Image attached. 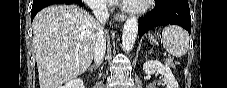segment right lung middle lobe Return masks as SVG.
I'll use <instances>...</instances> for the list:
<instances>
[{
    "label": "right lung middle lobe",
    "instance_id": "1",
    "mask_svg": "<svg viewBox=\"0 0 227 88\" xmlns=\"http://www.w3.org/2000/svg\"><path fill=\"white\" fill-rule=\"evenodd\" d=\"M72 2H80L81 0H71Z\"/></svg>",
    "mask_w": 227,
    "mask_h": 88
}]
</instances>
